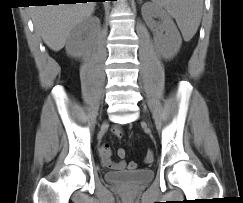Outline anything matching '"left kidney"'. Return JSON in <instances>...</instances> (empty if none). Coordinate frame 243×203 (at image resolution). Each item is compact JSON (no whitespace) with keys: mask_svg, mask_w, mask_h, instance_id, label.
<instances>
[{"mask_svg":"<svg viewBox=\"0 0 243 203\" xmlns=\"http://www.w3.org/2000/svg\"><path fill=\"white\" fill-rule=\"evenodd\" d=\"M141 11L147 26L154 31L155 49L164 59H172L182 45L180 33L173 20L155 3H145ZM154 17H159L161 23H156Z\"/></svg>","mask_w":243,"mask_h":203,"instance_id":"1","label":"left kidney"}]
</instances>
